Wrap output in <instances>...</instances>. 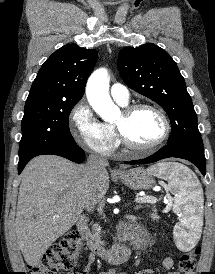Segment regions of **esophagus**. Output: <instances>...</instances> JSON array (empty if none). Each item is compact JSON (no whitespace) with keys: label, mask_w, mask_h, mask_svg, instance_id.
Segmentation results:
<instances>
[{"label":"esophagus","mask_w":215,"mask_h":274,"mask_svg":"<svg viewBox=\"0 0 215 274\" xmlns=\"http://www.w3.org/2000/svg\"><path fill=\"white\" fill-rule=\"evenodd\" d=\"M114 171H115V173H120L121 172L120 169H115Z\"/></svg>","instance_id":"obj_1"}]
</instances>
